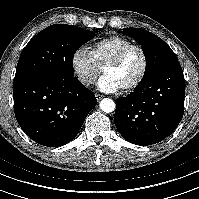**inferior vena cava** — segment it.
Segmentation results:
<instances>
[{
  "label": "inferior vena cava",
  "instance_id": "inferior-vena-cava-1",
  "mask_svg": "<svg viewBox=\"0 0 199 199\" xmlns=\"http://www.w3.org/2000/svg\"><path fill=\"white\" fill-rule=\"evenodd\" d=\"M86 85H90L93 83V80L91 78L83 79L82 80Z\"/></svg>",
  "mask_w": 199,
  "mask_h": 199
}]
</instances>
